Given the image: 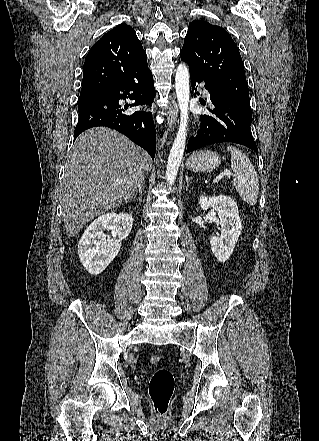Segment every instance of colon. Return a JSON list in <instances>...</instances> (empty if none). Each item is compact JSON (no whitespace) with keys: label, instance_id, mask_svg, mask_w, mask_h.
Instances as JSON below:
<instances>
[{"label":"colon","instance_id":"obj_1","mask_svg":"<svg viewBox=\"0 0 319 441\" xmlns=\"http://www.w3.org/2000/svg\"><path fill=\"white\" fill-rule=\"evenodd\" d=\"M149 361L151 364L157 365L162 361V357L158 354H153L149 357ZM174 387V375L169 369L159 368L153 373L150 379L149 395L157 416H166Z\"/></svg>","mask_w":319,"mask_h":441}]
</instances>
